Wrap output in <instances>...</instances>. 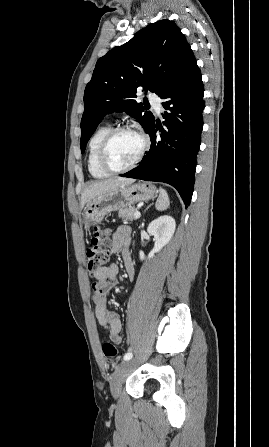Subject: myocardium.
Wrapping results in <instances>:
<instances>
[{"label": "myocardium", "instance_id": "obj_1", "mask_svg": "<svg viewBox=\"0 0 269 447\" xmlns=\"http://www.w3.org/2000/svg\"><path fill=\"white\" fill-rule=\"evenodd\" d=\"M126 130H133V131L138 132L143 138V147H142L141 151L139 152L138 156L136 157V159L131 164H129L125 167H114L108 160V149H109L110 143L113 140V138L115 137V135L118 134L119 132L126 131ZM150 146H151V139H150L148 133L140 126L133 125V124H125V125H121L118 127H114L107 133V135L105 136V138L101 144L100 155H99L100 165L102 166V168H104L105 170H107L110 173H121V172L129 171L141 162V160L144 158L145 154L150 149Z\"/></svg>", "mask_w": 269, "mask_h": 447}]
</instances>
